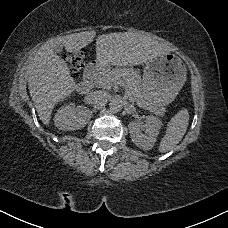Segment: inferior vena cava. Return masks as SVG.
Masks as SVG:
<instances>
[{
  "mask_svg": "<svg viewBox=\"0 0 228 228\" xmlns=\"http://www.w3.org/2000/svg\"><path fill=\"white\" fill-rule=\"evenodd\" d=\"M110 98V95L107 91L98 90L92 93H89L85 100L89 105L93 106H103Z\"/></svg>",
  "mask_w": 228,
  "mask_h": 228,
  "instance_id": "obj_1",
  "label": "inferior vena cava"
}]
</instances>
